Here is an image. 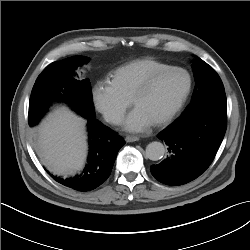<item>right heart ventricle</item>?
I'll return each mask as SVG.
<instances>
[{"label":"right heart ventricle","mask_w":250,"mask_h":250,"mask_svg":"<svg viewBox=\"0 0 250 250\" xmlns=\"http://www.w3.org/2000/svg\"><path fill=\"white\" fill-rule=\"evenodd\" d=\"M168 66L152 57L137 58L114 69L110 81L124 96L132 99L137 88L150 74Z\"/></svg>","instance_id":"obj_1"}]
</instances>
